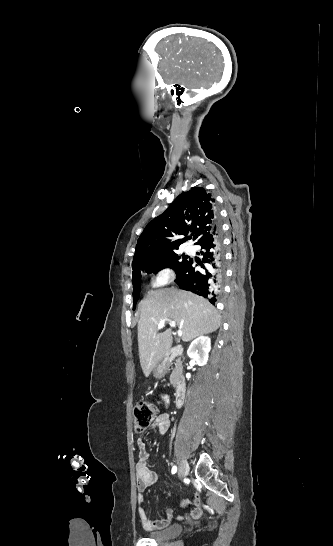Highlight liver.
<instances>
[{
  "instance_id": "liver-1",
  "label": "liver",
  "mask_w": 333,
  "mask_h": 546,
  "mask_svg": "<svg viewBox=\"0 0 333 546\" xmlns=\"http://www.w3.org/2000/svg\"><path fill=\"white\" fill-rule=\"evenodd\" d=\"M164 318L176 322L184 342L212 333L221 324L220 313L201 296L173 287L148 292L138 321L139 358L145 377L172 345L171 329L158 333V323Z\"/></svg>"
}]
</instances>
